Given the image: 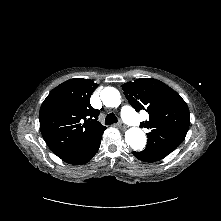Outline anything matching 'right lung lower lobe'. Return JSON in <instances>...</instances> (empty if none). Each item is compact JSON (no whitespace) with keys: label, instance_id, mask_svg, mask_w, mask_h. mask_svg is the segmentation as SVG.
<instances>
[{"label":"right lung lower lobe","instance_id":"obj_1","mask_svg":"<svg viewBox=\"0 0 221 221\" xmlns=\"http://www.w3.org/2000/svg\"><path fill=\"white\" fill-rule=\"evenodd\" d=\"M103 132L104 131L93 135L78 150L74 151L73 153L61 159L73 165H80L87 163L97 153L100 147Z\"/></svg>","mask_w":221,"mask_h":221}]
</instances>
